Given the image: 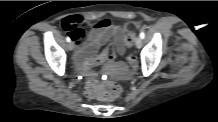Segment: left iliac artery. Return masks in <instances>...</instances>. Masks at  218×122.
<instances>
[{
  "mask_svg": "<svg viewBox=\"0 0 218 122\" xmlns=\"http://www.w3.org/2000/svg\"><path fill=\"white\" fill-rule=\"evenodd\" d=\"M144 37H145V33H144V31H141V32H140V38H141V39H144Z\"/></svg>",
  "mask_w": 218,
  "mask_h": 122,
  "instance_id": "44dca946",
  "label": "left iliac artery"
}]
</instances>
